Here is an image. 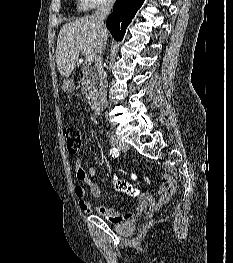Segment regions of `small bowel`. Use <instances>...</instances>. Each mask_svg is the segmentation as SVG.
<instances>
[{
	"mask_svg": "<svg viewBox=\"0 0 233 263\" xmlns=\"http://www.w3.org/2000/svg\"><path fill=\"white\" fill-rule=\"evenodd\" d=\"M75 173L77 179L86 185L92 196L99 198L101 196V189L98 184L93 180L95 175V169L90 167L86 169L83 167L81 161L77 160L75 163ZM161 185L158 187V198L154 199L151 195L143 193L139 195V207L134 213H120L113 208L106 206H93L86 198V190L81 185H76L74 187V193L78 200V205L80 209L85 213H91L96 211L99 215L105 217L109 222L119 223L136 214L149 209L151 211L159 210L163 205H165L171 196L176 192V183L171 175H163L160 178Z\"/></svg>",
	"mask_w": 233,
	"mask_h": 263,
	"instance_id": "obj_1",
	"label": "small bowel"
}]
</instances>
